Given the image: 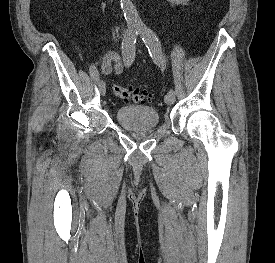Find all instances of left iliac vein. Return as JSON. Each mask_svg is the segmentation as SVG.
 Here are the masks:
<instances>
[{
	"label": "left iliac vein",
	"instance_id": "1",
	"mask_svg": "<svg viewBox=\"0 0 275 263\" xmlns=\"http://www.w3.org/2000/svg\"><path fill=\"white\" fill-rule=\"evenodd\" d=\"M164 101L165 103L171 105L175 102V94H172V93H167L165 96H164Z\"/></svg>",
	"mask_w": 275,
	"mask_h": 263
}]
</instances>
